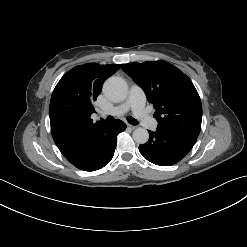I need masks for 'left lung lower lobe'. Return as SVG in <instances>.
<instances>
[{
    "instance_id": "obj_1",
    "label": "left lung lower lobe",
    "mask_w": 247,
    "mask_h": 247,
    "mask_svg": "<svg viewBox=\"0 0 247 247\" xmlns=\"http://www.w3.org/2000/svg\"><path fill=\"white\" fill-rule=\"evenodd\" d=\"M147 143L139 146L142 156L153 164L171 166L184 158L192 149L197 137L172 131L158 129L149 131Z\"/></svg>"
}]
</instances>
